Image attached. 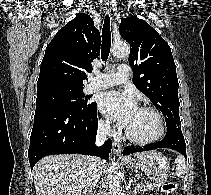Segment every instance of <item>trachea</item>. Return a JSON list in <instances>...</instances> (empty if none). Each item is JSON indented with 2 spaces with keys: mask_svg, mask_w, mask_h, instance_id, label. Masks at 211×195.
Listing matches in <instances>:
<instances>
[{
  "mask_svg": "<svg viewBox=\"0 0 211 195\" xmlns=\"http://www.w3.org/2000/svg\"><path fill=\"white\" fill-rule=\"evenodd\" d=\"M111 48V32H110V18L105 16L102 28V45H101V59L106 61L108 59Z\"/></svg>",
  "mask_w": 211,
  "mask_h": 195,
  "instance_id": "1",
  "label": "trachea"
}]
</instances>
